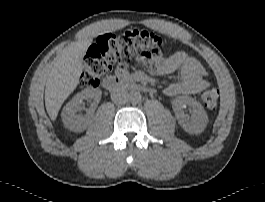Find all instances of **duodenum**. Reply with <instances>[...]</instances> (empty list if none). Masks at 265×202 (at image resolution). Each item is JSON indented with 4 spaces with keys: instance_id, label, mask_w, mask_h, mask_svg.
I'll list each match as a JSON object with an SVG mask.
<instances>
[{
    "instance_id": "obj_1",
    "label": "duodenum",
    "mask_w": 265,
    "mask_h": 202,
    "mask_svg": "<svg viewBox=\"0 0 265 202\" xmlns=\"http://www.w3.org/2000/svg\"><path fill=\"white\" fill-rule=\"evenodd\" d=\"M102 85L110 92H116L123 87H127L132 90L143 91L145 93H151L152 91L149 86L143 85L131 78L124 76H107L102 80Z\"/></svg>"
}]
</instances>
